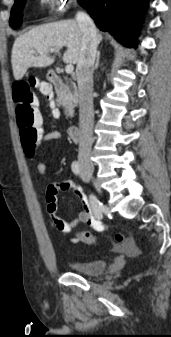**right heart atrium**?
<instances>
[{
    "instance_id": "obj_1",
    "label": "right heart atrium",
    "mask_w": 171,
    "mask_h": 337,
    "mask_svg": "<svg viewBox=\"0 0 171 337\" xmlns=\"http://www.w3.org/2000/svg\"><path fill=\"white\" fill-rule=\"evenodd\" d=\"M75 0H43L44 5L49 7L55 14L61 13L66 7Z\"/></svg>"
}]
</instances>
